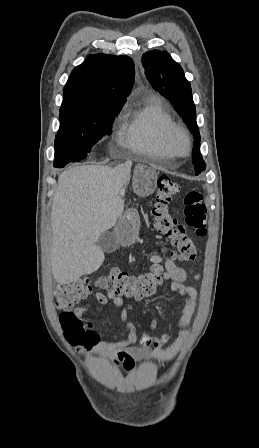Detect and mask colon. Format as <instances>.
I'll list each match as a JSON object with an SVG mask.
<instances>
[{
    "instance_id": "1",
    "label": "colon",
    "mask_w": 259,
    "mask_h": 448,
    "mask_svg": "<svg viewBox=\"0 0 259 448\" xmlns=\"http://www.w3.org/2000/svg\"><path fill=\"white\" fill-rule=\"evenodd\" d=\"M181 186L169 176H161L157 181V193L152 210L155 229L167 237L173 245L171 257L180 261H191L196 257V249L192 238L185 227L169 213L170 201L180 192ZM184 213L186 226L197 236L202 237L207 232V208L203 194L190 191L184 197ZM162 267L158 256H152L148 270L138 276L113 270L101 276L95 285L106 289L117 296H126L141 300L153 296L161 283ZM92 281L81 278L55 289L56 307L63 312L60 322L66 339L72 345L81 344L89 334L90 323L77 316L71 309L79 301L87 298L92 291ZM143 346H150L152 339L143 337Z\"/></svg>"
}]
</instances>
